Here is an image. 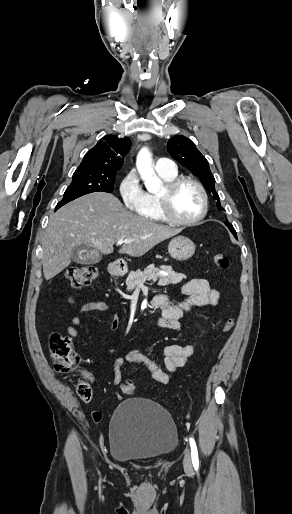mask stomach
<instances>
[{"label":"stomach","mask_w":292,"mask_h":514,"mask_svg":"<svg viewBox=\"0 0 292 514\" xmlns=\"http://www.w3.org/2000/svg\"><path fill=\"white\" fill-rule=\"evenodd\" d=\"M168 252L171 258L183 262V260H189V258L193 256L195 244H193L189 238H185V236H177V238H173V240L169 242ZM108 272L111 276H118L120 268L116 266V264H109Z\"/></svg>","instance_id":"obj_1"}]
</instances>
